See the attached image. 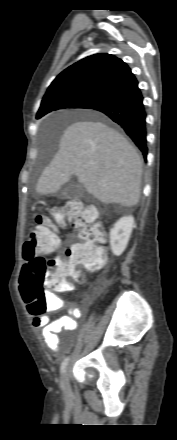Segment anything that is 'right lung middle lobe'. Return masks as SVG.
<instances>
[{
    "label": "right lung middle lobe",
    "instance_id": "right-lung-middle-lobe-1",
    "mask_svg": "<svg viewBox=\"0 0 177 440\" xmlns=\"http://www.w3.org/2000/svg\"><path fill=\"white\" fill-rule=\"evenodd\" d=\"M98 98V95L75 91H67L54 94L49 98L42 100L40 109L37 113V119L41 118L51 111L58 109L86 108Z\"/></svg>",
    "mask_w": 177,
    "mask_h": 440
}]
</instances>
